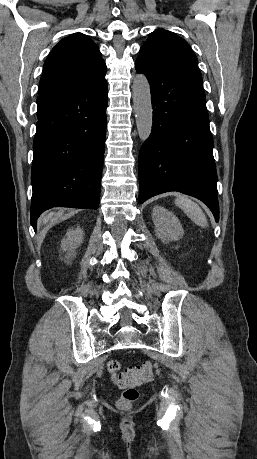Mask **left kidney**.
<instances>
[{
    "label": "left kidney",
    "mask_w": 257,
    "mask_h": 459,
    "mask_svg": "<svg viewBox=\"0 0 257 459\" xmlns=\"http://www.w3.org/2000/svg\"><path fill=\"white\" fill-rule=\"evenodd\" d=\"M152 219L155 234L163 242L176 241L183 236L184 230L179 219L164 207L155 206L152 211Z\"/></svg>",
    "instance_id": "5707ae66"
}]
</instances>
